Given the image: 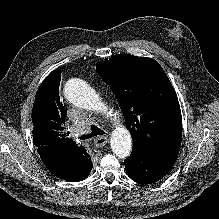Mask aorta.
I'll use <instances>...</instances> for the list:
<instances>
[{"mask_svg": "<svg viewBox=\"0 0 219 219\" xmlns=\"http://www.w3.org/2000/svg\"><path fill=\"white\" fill-rule=\"evenodd\" d=\"M65 98L73 105L90 111L112 116L108 107L97 92L81 79H71L64 86ZM110 145L113 153L121 158H127L132 151V137L128 129L118 125L111 134Z\"/></svg>", "mask_w": 219, "mask_h": 219, "instance_id": "obj_1", "label": "aorta"}]
</instances>
